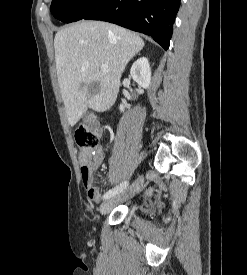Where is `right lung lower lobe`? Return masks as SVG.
<instances>
[{
    "label": "right lung lower lobe",
    "mask_w": 247,
    "mask_h": 275,
    "mask_svg": "<svg viewBox=\"0 0 247 275\" xmlns=\"http://www.w3.org/2000/svg\"><path fill=\"white\" fill-rule=\"evenodd\" d=\"M180 0H104L83 19L111 22L152 36L169 47Z\"/></svg>",
    "instance_id": "98d812e1"
}]
</instances>
